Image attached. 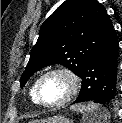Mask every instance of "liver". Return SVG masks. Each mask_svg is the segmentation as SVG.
Here are the masks:
<instances>
[{
  "label": "liver",
  "mask_w": 122,
  "mask_h": 123,
  "mask_svg": "<svg viewBox=\"0 0 122 123\" xmlns=\"http://www.w3.org/2000/svg\"><path fill=\"white\" fill-rule=\"evenodd\" d=\"M47 120H36V121H32L31 123H45Z\"/></svg>",
  "instance_id": "obj_1"
}]
</instances>
